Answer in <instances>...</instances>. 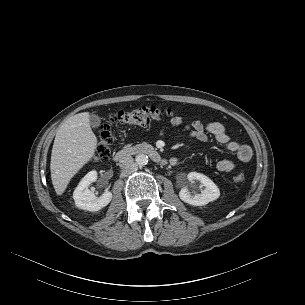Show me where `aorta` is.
Returning <instances> with one entry per match:
<instances>
[{"instance_id": "obj_1", "label": "aorta", "mask_w": 305, "mask_h": 305, "mask_svg": "<svg viewBox=\"0 0 305 305\" xmlns=\"http://www.w3.org/2000/svg\"><path fill=\"white\" fill-rule=\"evenodd\" d=\"M135 161L139 166H145L148 163V156L146 154L140 153L136 155Z\"/></svg>"}]
</instances>
